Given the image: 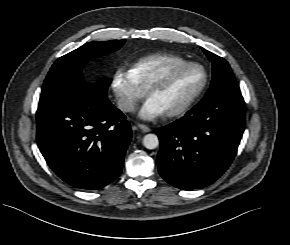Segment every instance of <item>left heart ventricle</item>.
Instances as JSON below:
<instances>
[{"label":"left heart ventricle","instance_id":"left-heart-ventricle-1","mask_svg":"<svg viewBox=\"0 0 290 245\" xmlns=\"http://www.w3.org/2000/svg\"><path fill=\"white\" fill-rule=\"evenodd\" d=\"M202 82L203 72L201 69L196 67L186 68L170 74L164 83L150 92L149 96L154 98L164 108L165 112H168L186 102Z\"/></svg>","mask_w":290,"mask_h":245}]
</instances>
